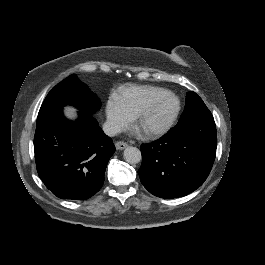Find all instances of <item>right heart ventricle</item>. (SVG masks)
I'll list each match as a JSON object with an SVG mask.
<instances>
[{"instance_id": "right-heart-ventricle-1", "label": "right heart ventricle", "mask_w": 265, "mask_h": 265, "mask_svg": "<svg viewBox=\"0 0 265 265\" xmlns=\"http://www.w3.org/2000/svg\"><path fill=\"white\" fill-rule=\"evenodd\" d=\"M158 89L160 88L134 86L124 90L120 94L114 95L113 103H115L124 114L134 119Z\"/></svg>"}]
</instances>
